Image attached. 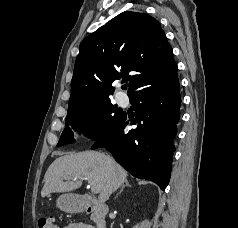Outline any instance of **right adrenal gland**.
<instances>
[{
  "mask_svg": "<svg viewBox=\"0 0 238 228\" xmlns=\"http://www.w3.org/2000/svg\"><path fill=\"white\" fill-rule=\"evenodd\" d=\"M125 187H131V185L129 184V182L127 180L125 181V184L122 185V187H121L120 191L117 193L116 197H118V195L124 190Z\"/></svg>",
  "mask_w": 238,
  "mask_h": 228,
  "instance_id": "obj_1",
  "label": "right adrenal gland"
}]
</instances>
